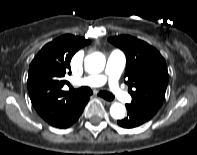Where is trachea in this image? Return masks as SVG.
<instances>
[{
	"mask_svg": "<svg viewBox=\"0 0 197 155\" xmlns=\"http://www.w3.org/2000/svg\"><path fill=\"white\" fill-rule=\"evenodd\" d=\"M71 91L78 93L80 95L89 96L92 94V90L89 87H81L79 89L71 88ZM99 96H101L102 98H104L105 100H108V101H111L114 99V95L111 94L110 92H107V91H100Z\"/></svg>",
	"mask_w": 197,
	"mask_h": 155,
	"instance_id": "obj_1",
	"label": "trachea"
}]
</instances>
